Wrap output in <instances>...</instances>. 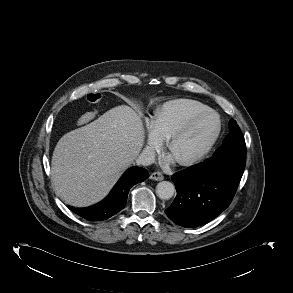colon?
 Wrapping results in <instances>:
<instances>
[{
  "label": "colon",
  "mask_w": 293,
  "mask_h": 293,
  "mask_svg": "<svg viewBox=\"0 0 293 293\" xmlns=\"http://www.w3.org/2000/svg\"><path fill=\"white\" fill-rule=\"evenodd\" d=\"M86 99L89 103L99 104L102 101V95L98 92H91L87 94ZM97 114V110L88 111L78 118L77 123L79 125L87 124L88 122L92 121L97 116Z\"/></svg>",
  "instance_id": "colon-1"
}]
</instances>
